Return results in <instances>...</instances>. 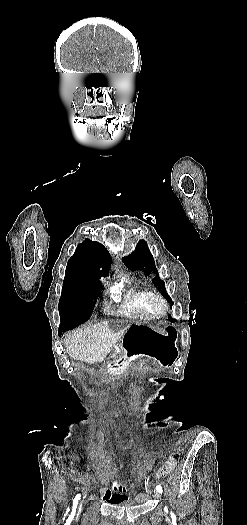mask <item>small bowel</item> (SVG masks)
I'll return each instance as SVG.
<instances>
[{
	"label": "small bowel",
	"instance_id": "c3829d8e",
	"mask_svg": "<svg viewBox=\"0 0 247 525\" xmlns=\"http://www.w3.org/2000/svg\"><path fill=\"white\" fill-rule=\"evenodd\" d=\"M179 458V451L169 457V459L159 468L156 472V477L159 478L168 473L177 463ZM105 498L109 501L112 506H120L124 502V498L120 494H111L109 491L106 493Z\"/></svg>",
	"mask_w": 247,
	"mask_h": 525
}]
</instances>
